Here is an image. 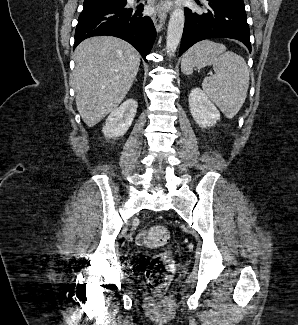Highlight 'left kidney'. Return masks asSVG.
Instances as JSON below:
<instances>
[{"instance_id": "obj_1", "label": "left kidney", "mask_w": 298, "mask_h": 325, "mask_svg": "<svg viewBox=\"0 0 298 325\" xmlns=\"http://www.w3.org/2000/svg\"><path fill=\"white\" fill-rule=\"evenodd\" d=\"M188 104L191 116H193L196 124L206 128V126H214L217 120H220L221 114L206 96L204 90L201 88H192L188 94Z\"/></svg>"}]
</instances>
